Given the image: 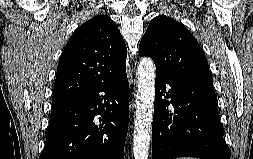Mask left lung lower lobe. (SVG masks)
<instances>
[{
	"instance_id": "1",
	"label": "left lung lower lobe",
	"mask_w": 253,
	"mask_h": 159,
	"mask_svg": "<svg viewBox=\"0 0 253 159\" xmlns=\"http://www.w3.org/2000/svg\"><path fill=\"white\" fill-rule=\"evenodd\" d=\"M222 133L212 84L156 74L152 159H230Z\"/></svg>"
}]
</instances>
